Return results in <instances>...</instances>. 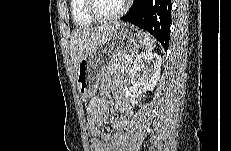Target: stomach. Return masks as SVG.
Wrapping results in <instances>:
<instances>
[{
	"label": "stomach",
	"instance_id": "obj_1",
	"mask_svg": "<svg viewBox=\"0 0 231 151\" xmlns=\"http://www.w3.org/2000/svg\"><path fill=\"white\" fill-rule=\"evenodd\" d=\"M144 35L128 23L115 26L108 41L85 55L76 71L77 89L82 97L95 96L101 76L109 64L119 55L134 53L143 46Z\"/></svg>",
	"mask_w": 231,
	"mask_h": 151
}]
</instances>
